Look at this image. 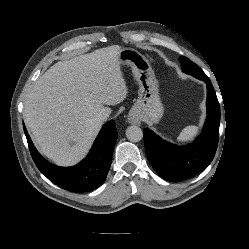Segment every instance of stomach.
<instances>
[{
  "instance_id": "1",
  "label": "stomach",
  "mask_w": 249,
  "mask_h": 249,
  "mask_svg": "<svg viewBox=\"0 0 249 249\" xmlns=\"http://www.w3.org/2000/svg\"><path fill=\"white\" fill-rule=\"evenodd\" d=\"M121 66L129 65L139 85L138 99L130 110V116L149 124L158 123L164 113L159 97V85L147 57L135 49L122 48L118 52Z\"/></svg>"
}]
</instances>
